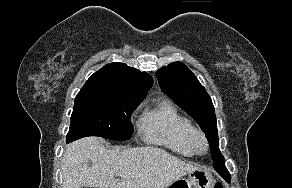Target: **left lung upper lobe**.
<instances>
[{"mask_svg": "<svg viewBox=\"0 0 292 188\" xmlns=\"http://www.w3.org/2000/svg\"><path fill=\"white\" fill-rule=\"evenodd\" d=\"M156 76L161 90L197 121L211 147L213 166H221L224 157L219 151L215 109L205 88L181 62L162 67L156 72ZM223 172H227L226 168Z\"/></svg>", "mask_w": 292, "mask_h": 188, "instance_id": "5c2ea615", "label": "left lung upper lobe"}]
</instances>
